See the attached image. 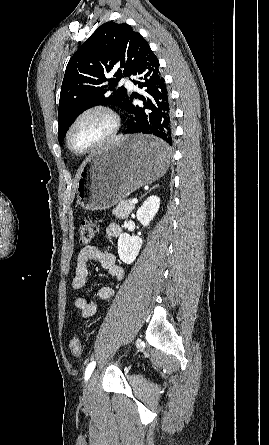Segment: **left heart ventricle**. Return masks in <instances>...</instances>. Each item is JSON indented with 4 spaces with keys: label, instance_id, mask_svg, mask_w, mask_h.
Segmentation results:
<instances>
[{
    "label": "left heart ventricle",
    "instance_id": "obj_1",
    "mask_svg": "<svg viewBox=\"0 0 269 445\" xmlns=\"http://www.w3.org/2000/svg\"><path fill=\"white\" fill-rule=\"evenodd\" d=\"M107 121L100 115L85 118L76 127L72 135V145L75 149H83L107 129Z\"/></svg>",
    "mask_w": 269,
    "mask_h": 445
}]
</instances>
